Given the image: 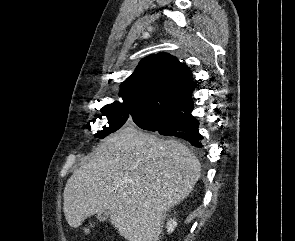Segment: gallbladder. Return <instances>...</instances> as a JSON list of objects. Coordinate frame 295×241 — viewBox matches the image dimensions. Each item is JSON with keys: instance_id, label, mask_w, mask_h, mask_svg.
Here are the masks:
<instances>
[{"instance_id": "1", "label": "gallbladder", "mask_w": 295, "mask_h": 241, "mask_svg": "<svg viewBox=\"0 0 295 241\" xmlns=\"http://www.w3.org/2000/svg\"><path fill=\"white\" fill-rule=\"evenodd\" d=\"M107 217H108V212L107 211H103L102 213H100L98 215L97 218H98L99 221L103 222V221H105L107 219Z\"/></svg>"}]
</instances>
